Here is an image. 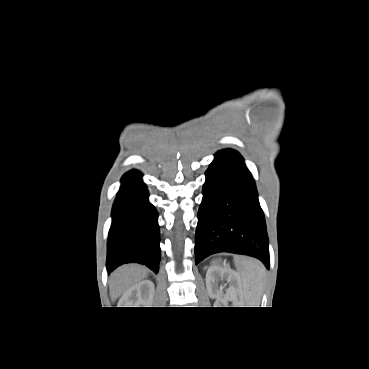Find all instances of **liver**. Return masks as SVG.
Masks as SVG:
<instances>
[{
	"label": "liver",
	"mask_w": 369,
	"mask_h": 369,
	"mask_svg": "<svg viewBox=\"0 0 369 369\" xmlns=\"http://www.w3.org/2000/svg\"><path fill=\"white\" fill-rule=\"evenodd\" d=\"M147 270L139 265L131 264L118 268L112 273L109 283L110 297L115 301L129 288L147 277Z\"/></svg>",
	"instance_id": "obj_1"
}]
</instances>
